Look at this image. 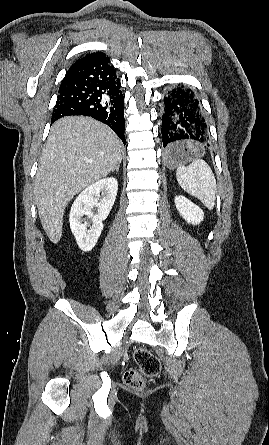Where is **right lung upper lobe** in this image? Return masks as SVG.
I'll use <instances>...</instances> for the list:
<instances>
[{
    "label": "right lung upper lobe",
    "instance_id": "obj_1",
    "mask_svg": "<svg viewBox=\"0 0 269 445\" xmlns=\"http://www.w3.org/2000/svg\"><path fill=\"white\" fill-rule=\"evenodd\" d=\"M100 54H102L101 52H96V53H88V54H86L84 57H82V58H80L78 61H76V63L74 64V65H77V64H79V63H82V62H84V61H87V60H89V59H91V58H93V57H95V56H97V55H100ZM74 65H72V66H74ZM71 66V67H72ZM70 67V68H71Z\"/></svg>",
    "mask_w": 269,
    "mask_h": 445
}]
</instances>
